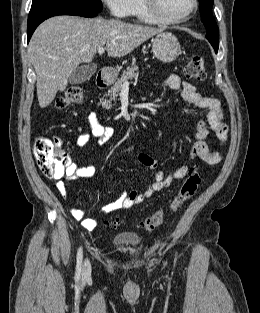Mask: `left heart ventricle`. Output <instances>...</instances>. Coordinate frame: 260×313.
I'll return each instance as SVG.
<instances>
[{
  "instance_id": "b2bd125f",
  "label": "left heart ventricle",
  "mask_w": 260,
  "mask_h": 313,
  "mask_svg": "<svg viewBox=\"0 0 260 313\" xmlns=\"http://www.w3.org/2000/svg\"><path fill=\"white\" fill-rule=\"evenodd\" d=\"M159 11L167 18H176L187 12L191 5L192 0H158Z\"/></svg>"
}]
</instances>
